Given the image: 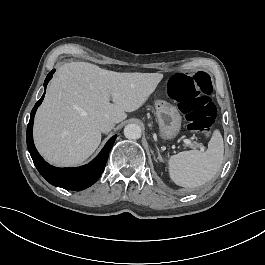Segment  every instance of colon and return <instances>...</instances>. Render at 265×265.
I'll return each mask as SVG.
<instances>
[{
	"mask_svg": "<svg viewBox=\"0 0 265 265\" xmlns=\"http://www.w3.org/2000/svg\"><path fill=\"white\" fill-rule=\"evenodd\" d=\"M169 90L186 113L188 129L209 137L215 123L216 105L211 98L213 88L208 76L200 71L177 73L170 80Z\"/></svg>",
	"mask_w": 265,
	"mask_h": 265,
	"instance_id": "5ec220e1",
	"label": "colon"
}]
</instances>
